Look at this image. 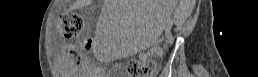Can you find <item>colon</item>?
<instances>
[{
    "instance_id": "5ec220e1",
    "label": "colon",
    "mask_w": 258,
    "mask_h": 77,
    "mask_svg": "<svg viewBox=\"0 0 258 77\" xmlns=\"http://www.w3.org/2000/svg\"><path fill=\"white\" fill-rule=\"evenodd\" d=\"M84 29L82 17L76 13L62 15L59 30L65 38H76ZM85 50L91 47V40L86 39L82 43ZM157 69V62L154 59H132L128 64V73L132 77H150Z\"/></svg>"
}]
</instances>
